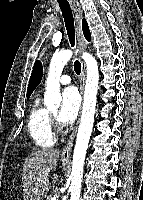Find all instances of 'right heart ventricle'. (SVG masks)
I'll return each mask as SVG.
<instances>
[{
    "mask_svg": "<svg viewBox=\"0 0 143 200\" xmlns=\"http://www.w3.org/2000/svg\"><path fill=\"white\" fill-rule=\"evenodd\" d=\"M27 128L36 146L48 148L54 145L56 138L52 131L50 112L41 103L38 95L33 99L27 119Z\"/></svg>",
    "mask_w": 143,
    "mask_h": 200,
    "instance_id": "obj_1",
    "label": "right heart ventricle"
}]
</instances>
